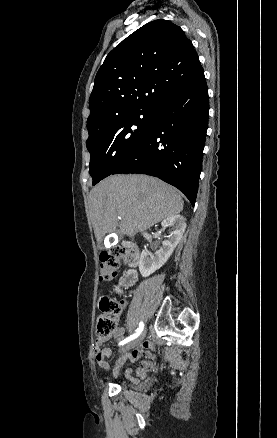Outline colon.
<instances>
[{
  "mask_svg": "<svg viewBox=\"0 0 277 438\" xmlns=\"http://www.w3.org/2000/svg\"><path fill=\"white\" fill-rule=\"evenodd\" d=\"M137 250L126 248L123 252L118 245L110 247L105 251L98 265V279L100 283H112L115 281L119 261H131L133 256L137 255ZM99 317L94 318V340L100 342L103 337L115 333V328H120L121 305L118 301L112 300L110 296H103L101 299ZM100 304V300H97Z\"/></svg>",
  "mask_w": 277,
  "mask_h": 438,
  "instance_id": "obj_1",
  "label": "colon"
}]
</instances>
